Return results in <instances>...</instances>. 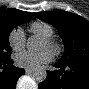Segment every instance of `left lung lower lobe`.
Masks as SVG:
<instances>
[{
    "mask_svg": "<svg viewBox=\"0 0 89 89\" xmlns=\"http://www.w3.org/2000/svg\"><path fill=\"white\" fill-rule=\"evenodd\" d=\"M54 66L59 70L47 71V77L39 84V89H89V60L69 64L58 62Z\"/></svg>",
    "mask_w": 89,
    "mask_h": 89,
    "instance_id": "1",
    "label": "left lung lower lobe"
}]
</instances>
